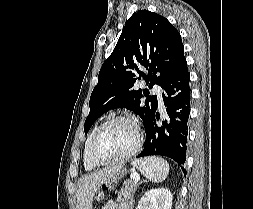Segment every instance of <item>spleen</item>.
I'll list each match as a JSON object with an SVG mask.
<instances>
[{
  "mask_svg": "<svg viewBox=\"0 0 253 209\" xmlns=\"http://www.w3.org/2000/svg\"><path fill=\"white\" fill-rule=\"evenodd\" d=\"M132 165L136 167L143 176L154 183L164 181L169 173L168 162L156 156L135 160L132 162Z\"/></svg>",
  "mask_w": 253,
  "mask_h": 209,
  "instance_id": "1",
  "label": "spleen"
}]
</instances>
